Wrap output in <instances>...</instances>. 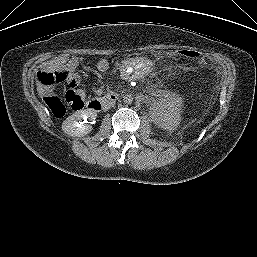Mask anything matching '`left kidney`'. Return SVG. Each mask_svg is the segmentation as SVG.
Masks as SVG:
<instances>
[{
	"instance_id": "5707ae66",
	"label": "left kidney",
	"mask_w": 257,
	"mask_h": 257,
	"mask_svg": "<svg viewBox=\"0 0 257 257\" xmlns=\"http://www.w3.org/2000/svg\"><path fill=\"white\" fill-rule=\"evenodd\" d=\"M183 100L179 96L170 95L160 99L153 107V121L165 130H175L181 121Z\"/></svg>"
}]
</instances>
